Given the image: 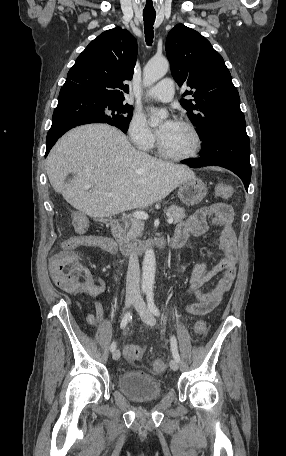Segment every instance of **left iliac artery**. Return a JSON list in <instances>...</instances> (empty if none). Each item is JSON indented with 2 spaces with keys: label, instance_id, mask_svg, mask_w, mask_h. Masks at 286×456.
Here are the masks:
<instances>
[{
  "label": "left iliac artery",
  "instance_id": "44dca946",
  "mask_svg": "<svg viewBox=\"0 0 286 456\" xmlns=\"http://www.w3.org/2000/svg\"><path fill=\"white\" fill-rule=\"evenodd\" d=\"M146 295H147V304H148L149 310L155 316H159L160 315V311H159L158 307L156 306V304L154 302V293H153V291L152 290H147ZM171 350H172V354H173L174 359L176 361L180 362V356H179L178 348H177V341H176V338L174 336L171 337Z\"/></svg>",
  "mask_w": 286,
  "mask_h": 456
}]
</instances>
